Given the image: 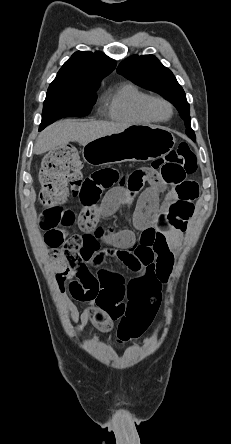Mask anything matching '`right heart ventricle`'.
<instances>
[{
    "mask_svg": "<svg viewBox=\"0 0 231 444\" xmlns=\"http://www.w3.org/2000/svg\"><path fill=\"white\" fill-rule=\"evenodd\" d=\"M148 93L131 82L123 83L106 98L105 112L109 119L122 123L149 124L156 120L144 109Z\"/></svg>",
    "mask_w": 231,
    "mask_h": 444,
    "instance_id": "right-heart-ventricle-1",
    "label": "right heart ventricle"
}]
</instances>
